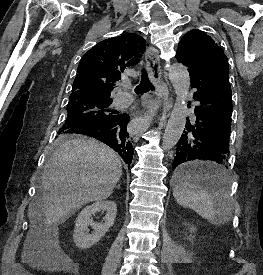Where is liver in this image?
Listing matches in <instances>:
<instances>
[{
	"instance_id": "obj_1",
	"label": "liver",
	"mask_w": 263,
	"mask_h": 275,
	"mask_svg": "<svg viewBox=\"0 0 263 275\" xmlns=\"http://www.w3.org/2000/svg\"><path fill=\"white\" fill-rule=\"evenodd\" d=\"M122 175L118 155L91 139L73 138L52 154L42 175V196L29 215L45 226L65 222L79 208L108 198Z\"/></svg>"
}]
</instances>
